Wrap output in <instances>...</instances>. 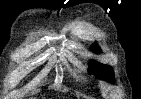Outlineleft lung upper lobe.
<instances>
[{
    "label": "left lung upper lobe",
    "instance_id": "left-lung-upper-lobe-1",
    "mask_svg": "<svg viewBox=\"0 0 141 99\" xmlns=\"http://www.w3.org/2000/svg\"><path fill=\"white\" fill-rule=\"evenodd\" d=\"M91 48L94 52H100V48L98 46H92ZM89 72L108 82L114 81L113 69L108 65L92 62L89 66Z\"/></svg>",
    "mask_w": 141,
    "mask_h": 99
}]
</instances>
